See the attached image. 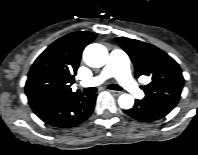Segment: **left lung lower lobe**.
Masks as SVG:
<instances>
[{
    "label": "left lung lower lobe",
    "instance_id": "left-lung-lower-lobe-1",
    "mask_svg": "<svg viewBox=\"0 0 198 155\" xmlns=\"http://www.w3.org/2000/svg\"><path fill=\"white\" fill-rule=\"evenodd\" d=\"M176 106L172 102L136 100L133 108L125 110L129 116L139 121L152 122L166 116Z\"/></svg>",
    "mask_w": 198,
    "mask_h": 155
}]
</instances>
